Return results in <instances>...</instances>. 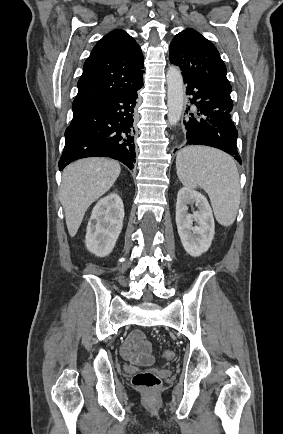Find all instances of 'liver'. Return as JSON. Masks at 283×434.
Masks as SVG:
<instances>
[{
    "instance_id": "liver-1",
    "label": "liver",
    "mask_w": 283,
    "mask_h": 434,
    "mask_svg": "<svg viewBox=\"0 0 283 434\" xmlns=\"http://www.w3.org/2000/svg\"><path fill=\"white\" fill-rule=\"evenodd\" d=\"M120 172L118 162L100 157L78 160L63 170L59 196L71 237L89 206L112 187Z\"/></svg>"
}]
</instances>
